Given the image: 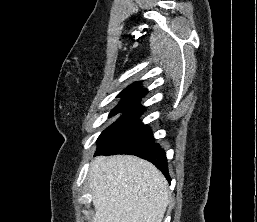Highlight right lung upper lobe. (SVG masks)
Returning a JSON list of instances; mask_svg holds the SVG:
<instances>
[{
	"instance_id": "obj_1",
	"label": "right lung upper lobe",
	"mask_w": 257,
	"mask_h": 222,
	"mask_svg": "<svg viewBox=\"0 0 257 222\" xmlns=\"http://www.w3.org/2000/svg\"><path fill=\"white\" fill-rule=\"evenodd\" d=\"M141 82H135L124 89L117 97H123L122 101L135 100L140 101L142 97L147 93L146 89H139Z\"/></svg>"
}]
</instances>
